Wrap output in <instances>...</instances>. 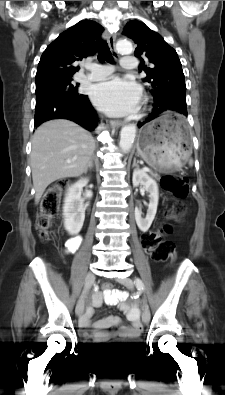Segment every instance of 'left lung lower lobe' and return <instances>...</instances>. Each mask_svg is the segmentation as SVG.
<instances>
[{
  "label": "left lung lower lobe",
  "mask_w": 225,
  "mask_h": 395,
  "mask_svg": "<svg viewBox=\"0 0 225 395\" xmlns=\"http://www.w3.org/2000/svg\"><path fill=\"white\" fill-rule=\"evenodd\" d=\"M154 101L152 113L148 116L145 122L138 123L139 128L164 111H175L181 115L187 116L186 100L181 97L154 98Z\"/></svg>",
  "instance_id": "1"
}]
</instances>
